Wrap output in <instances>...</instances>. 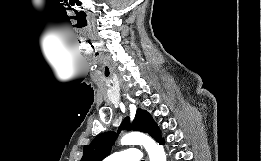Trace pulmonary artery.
<instances>
[{
	"label": "pulmonary artery",
	"mask_w": 261,
	"mask_h": 161,
	"mask_svg": "<svg viewBox=\"0 0 261 161\" xmlns=\"http://www.w3.org/2000/svg\"><path fill=\"white\" fill-rule=\"evenodd\" d=\"M140 154L137 149H124L107 156L103 161H139Z\"/></svg>",
	"instance_id": "obj_1"
}]
</instances>
